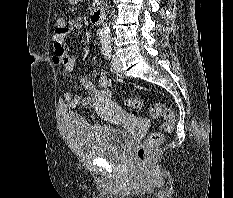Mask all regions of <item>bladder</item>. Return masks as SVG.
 <instances>
[{"instance_id":"1","label":"bladder","mask_w":233,"mask_h":198,"mask_svg":"<svg viewBox=\"0 0 233 198\" xmlns=\"http://www.w3.org/2000/svg\"><path fill=\"white\" fill-rule=\"evenodd\" d=\"M67 121L72 146L87 156L119 158L131 140L127 130L92 124L76 113L69 114Z\"/></svg>"}]
</instances>
